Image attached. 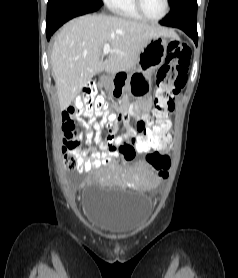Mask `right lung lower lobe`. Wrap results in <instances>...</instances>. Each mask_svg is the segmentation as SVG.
I'll return each instance as SVG.
<instances>
[{
  "label": "right lung lower lobe",
  "mask_w": 238,
  "mask_h": 278,
  "mask_svg": "<svg viewBox=\"0 0 238 278\" xmlns=\"http://www.w3.org/2000/svg\"><path fill=\"white\" fill-rule=\"evenodd\" d=\"M102 4L90 0H49L47 5L46 35H51L68 20L97 11Z\"/></svg>",
  "instance_id": "obj_1"
}]
</instances>
